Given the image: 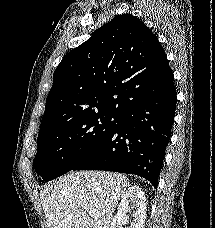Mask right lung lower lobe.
<instances>
[{"label":"right lung lower lobe","mask_w":215,"mask_h":228,"mask_svg":"<svg viewBox=\"0 0 215 228\" xmlns=\"http://www.w3.org/2000/svg\"><path fill=\"white\" fill-rule=\"evenodd\" d=\"M174 77L162 88L123 109L106 136L72 170H105L147 179L157 189L176 109Z\"/></svg>","instance_id":"right-lung-lower-lobe-1"}]
</instances>
